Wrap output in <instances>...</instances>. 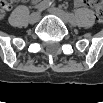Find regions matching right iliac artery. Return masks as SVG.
<instances>
[{
	"label": "right iliac artery",
	"mask_w": 103,
	"mask_h": 103,
	"mask_svg": "<svg viewBox=\"0 0 103 103\" xmlns=\"http://www.w3.org/2000/svg\"><path fill=\"white\" fill-rule=\"evenodd\" d=\"M51 6V2L49 0H44L42 1L41 3H39L37 6H36V9L41 12L45 9H47L48 7Z\"/></svg>",
	"instance_id": "1"
}]
</instances>
